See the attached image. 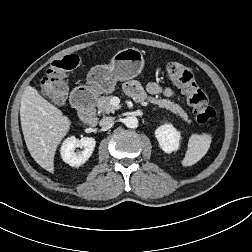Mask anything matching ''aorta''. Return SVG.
Masks as SVG:
<instances>
[{"label":"aorta","instance_id":"1","mask_svg":"<svg viewBox=\"0 0 252 252\" xmlns=\"http://www.w3.org/2000/svg\"><path fill=\"white\" fill-rule=\"evenodd\" d=\"M125 125L128 128H137L138 126V119L135 116H129L125 119Z\"/></svg>","mask_w":252,"mask_h":252}]
</instances>
